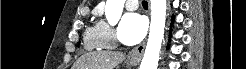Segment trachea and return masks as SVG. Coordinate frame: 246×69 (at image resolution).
I'll return each mask as SVG.
<instances>
[{
	"mask_svg": "<svg viewBox=\"0 0 246 69\" xmlns=\"http://www.w3.org/2000/svg\"><path fill=\"white\" fill-rule=\"evenodd\" d=\"M142 5H143V7H147L148 6V2L147 1H142Z\"/></svg>",
	"mask_w": 246,
	"mask_h": 69,
	"instance_id": "1",
	"label": "trachea"
}]
</instances>
